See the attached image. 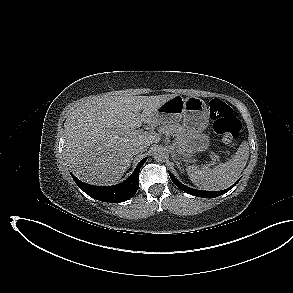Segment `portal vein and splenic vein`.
<instances>
[{
  "label": "portal vein and splenic vein",
  "instance_id": "18ae733b",
  "mask_svg": "<svg viewBox=\"0 0 293 293\" xmlns=\"http://www.w3.org/2000/svg\"><path fill=\"white\" fill-rule=\"evenodd\" d=\"M211 158H212V163L211 165H214L216 163V161H219V156L218 155H215V154H212L211 155Z\"/></svg>",
  "mask_w": 293,
  "mask_h": 293
}]
</instances>
